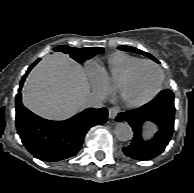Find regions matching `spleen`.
Returning a JSON list of instances; mask_svg holds the SVG:
<instances>
[{"label":"spleen","instance_id":"3e777b00","mask_svg":"<svg viewBox=\"0 0 194 193\" xmlns=\"http://www.w3.org/2000/svg\"><path fill=\"white\" fill-rule=\"evenodd\" d=\"M152 132H153V130L150 129V128H148V129L145 131L144 135H145L146 137H149V136L152 134Z\"/></svg>","mask_w":194,"mask_h":193}]
</instances>
